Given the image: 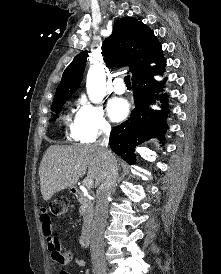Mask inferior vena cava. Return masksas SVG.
<instances>
[{"instance_id": "602c4592", "label": "inferior vena cava", "mask_w": 221, "mask_h": 274, "mask_svg": "<svg viewBox=\"0 0 221 274\" xmlns=\"http://www.w3.org/2000/svg\"><path fill=\"white\" fill-rule=\"evenodd\" d=\"M103 131V138L102 140H99L97 144L104 160L105 169L103 172L101 185L97 189L95 216L92 223V240L90 250L93 260L103 256V231L105 229L108 215V198L115 191L116 179L118 175L116 158L107 148L111 127L106 126Z\"/></svg>"}]
</instances>
